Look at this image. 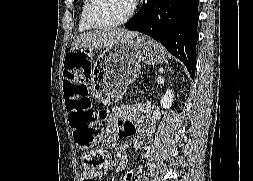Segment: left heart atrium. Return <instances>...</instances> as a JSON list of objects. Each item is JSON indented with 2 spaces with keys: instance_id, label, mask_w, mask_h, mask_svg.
I'll use <instances>...</instances> for the list:
<instances>
[{
  "instance_id": "left-heart-atrium-1",
  "label": "left heart atrium",
  "mask_w": 253,
  "mask_h": 181,
  "mask_svg": "<svg viewBox=\"0 0 253 181\" xmlns=\"http://www.w3.org/2000/svg\"><path fill=\"white\" fill-rule=\"evenodd\" d=\"M138 0H131L132 4H135Z\"/></svg>"
}]
</instances>
